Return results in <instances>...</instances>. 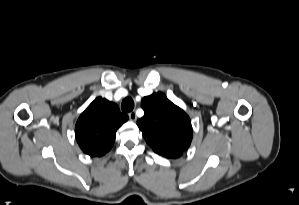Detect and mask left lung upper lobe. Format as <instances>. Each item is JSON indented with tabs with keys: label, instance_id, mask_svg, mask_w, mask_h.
<instances>
[{
	"label": "left lung upper lobe",
	"instance_id": "1",
	"mask_svg": "<svg viewBox=\"0 0 299 205\" xmlns=\"http://www.w3.org/2000/svg\"><path fill=\"white\" fill-rule=\"evenodd\" d=\"M144 116L137 121L143 137L159 155L183 152L192 140V126L188 115L163 93H153L141 102Z\"/></svg>",
	"mask_w": 299,
	"mask_h": 205
}]
</instances>
